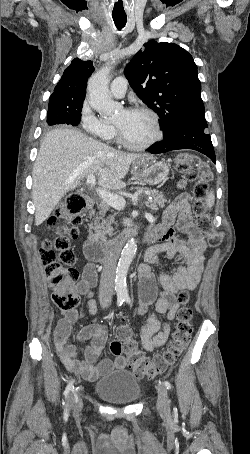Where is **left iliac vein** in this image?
I'll return each instance as SVG.
<instances>
[{"mask_svg": "<svg viewBox=\"0 0 250 454\" xmlns=\"http://www.w3.org/2000/svg\"><path fill=\"white\" fill-rule=\"evenodd\" d=\"M157 393H158V400H157V408L161 414H167L169 412V398L167 389L165 386L158 384L157 385Z\"/></svg>", "mask_w": 250, "mask_h": 454, "instance_id": "obj_1", "label": "left iliac vein"}]
</instances>
